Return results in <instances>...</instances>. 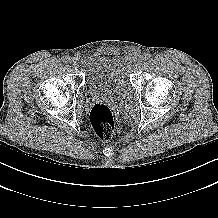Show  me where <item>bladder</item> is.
<instances>
[{
	"label": "bladder",
	"mask_w": 218,
	"mask_h": 218,
	"mask_svg": "<svg viewBox=\"0 0 218 218\" xmlns=\"http://www.w3.org/2000/svg\"><path fill=\"white\" fill-rule=\"evenodd\" d=\"M85 86L92 94L124 93L130 87L127 63L120 56L90 54L83 57Z\"/></svg>",
	"instance_id": "1"
}]
</instances>
